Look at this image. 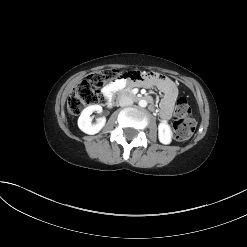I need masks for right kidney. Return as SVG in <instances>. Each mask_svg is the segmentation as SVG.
Wrapping results in <instances>:
<instances>
[{
	"instance_id": "ca27d5eb",
	"label": "right kidney",
	"mask_w": 247,
	"mask_h": 247,
	"mask_svg": "<svg viewBox=\"0 0 247 247\" xmlns=\"http://www.w3.org/2000/svg\"><path fill=\"white\" fill-rule=\"evenodd\" d=\"M101 113L102 107L100 105H90L86 107L82 112L81 115L78 118V127L81 131H83L86 134L94 135L98 133L105 125L106 118L101 117L97 119L96 124H92V119L90 115L93 112Z\"/></svg>"
}]
</instances>
